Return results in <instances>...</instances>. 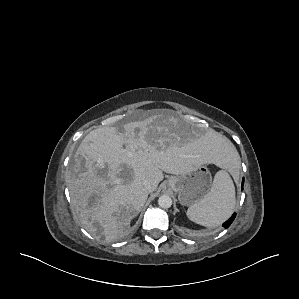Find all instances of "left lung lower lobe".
Wrapping results in <instances>:
<instances>
[{"label":"left lung lower lobe","instance_id":"1","mask_svg":"<svg viewBox=\"0 0 299 299\" xmlns=\"http://www.w3.org/2000/svg\"><path fill=\"white\" fill-rule=\"evenodd\" d=\"M243 185H244V179H243V181H242V190H243ZM235 217H236V213H234V214L229 218V220H227V221L223 224V227L228 228V227L231 225V223L234 221Z\"/></svg>","mask_w":299,"mask_h":299}]
</instances>
